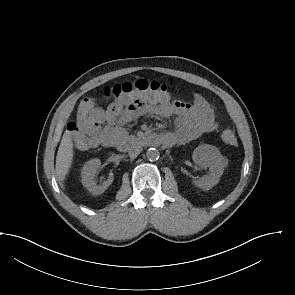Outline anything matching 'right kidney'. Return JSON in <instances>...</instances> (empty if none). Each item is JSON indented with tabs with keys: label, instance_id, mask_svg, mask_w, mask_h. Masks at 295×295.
<instances>
[{
	"label": "right kidney",
	"instance_id": "right-kidney-1",
	"mask_svg": "<svg viewBox=\"0 0 295 295\" xmlns=\"http://www.w3.org/2000/svg\"><path fill=\"white\" fill-rule=\"evenodd\" d=\"M101 166L100 159H92L83 166L81 176H82V184L84 187L87 188L89 192L93 195H100L102 194L113 182V173L109 174V177L106 181H104L101 185H97L95 181V174L97 170Z\"/></svg>",
	"mask_w": 295,
	"mask_h": 295
}]
</instances>
